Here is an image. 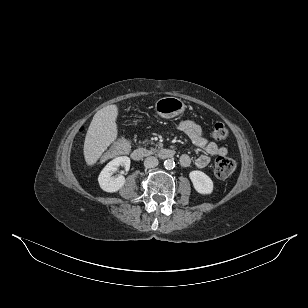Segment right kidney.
<instances>
[{
    "instance_id": "1",
    "label": "right kidney",
    "mask_w": 308,
    "mask_h": 308,
    "mask_svg": "<svg viewBox=\"0 0 308 308\" xmlns=\"http://www.w3.org/2000/svg\"><path fill=\"white\" fill-rule=\"evenodd\" d=\"M130 158L127 156H121L110 161L104 169L101 171L98 182L102 190L105 192H117L120 190L126 180L124 176L113 177L112 174L117 170V168L121 165L124 166L126 171L130 168Z\"/></svg>"
}]
</instances>
